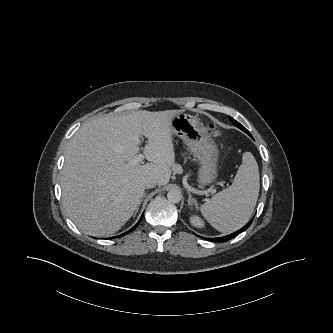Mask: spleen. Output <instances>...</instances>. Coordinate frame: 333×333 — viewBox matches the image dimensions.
Listing matches in <instances>:
<instances>
[{
    "label": "spleen",
    "mask_w": 333,
    "mask_h": 333,
    "mask_svg": "<svg viewBox=\"0 0 333 333\" xmlns=\"http://www.w3.org/2000/svg\"><path fill=\"white\" fill-rule=\"evenodd\" d=\"M260 188L257 162L245 152L232 185L202 204L200 211L208 223L223 233H231L250 219Z\"/></svg>",
    "instance_id": "spleen-1"
}]
</instances>
